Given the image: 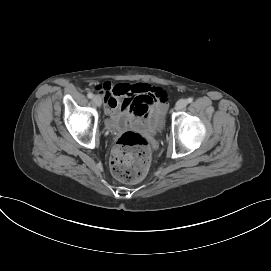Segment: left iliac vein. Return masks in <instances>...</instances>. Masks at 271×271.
Masks as SVG:
<instances>
[{"instance_id": "left-iliac-vein-1", "label": "left iliac vein", "mask_w": 271, "mask_h": 271, "mask_svg": "<svg viewBox=\"0 0 271 271\" xmlns=\"http://www.w3.org/2000/svg\"><path fill=\"white\" fill-rule=\"evenodd\" d=\"M188 102L186 99H180L179 101H177L176 103V110H182L187 106Z\"/></svg>"}]
</instances>
